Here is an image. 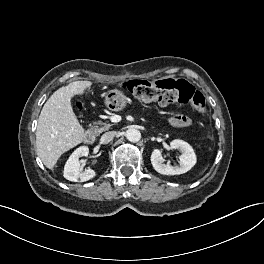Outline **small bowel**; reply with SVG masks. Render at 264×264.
I'll use <instances>...</instances> for the list:
<instances>
[{
  "instance_id": "c3829d8e",
  "label": "small bowel",
  "mask_w": 264,
  "mask_h": 264,
  "mask_svg": "<svg viewBox=\"0 0 264 264\" xmlns=\"http://www.w3.org/2000/svg\"><path fill=\"white\" fill-rule=\"evenodd\" d=\"M170 123L174 127L183 128L191 125V120L181 114H176L170 118Z\"/></svg>"
}]
</instances>
